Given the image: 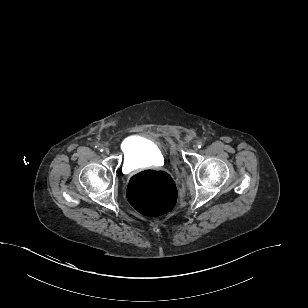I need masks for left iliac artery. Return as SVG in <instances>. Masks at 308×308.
<instances>
[{
  "label": "left iliac artery",
  "mask_w": 308,
  "mask_h": 308,
  "mask_svg": "<svg viewBox=\"0 0 308 308\" xmlns=\"http://www.w3.org/2000/svg\"><path fill=\"white\" fill-rule=\"evenodd\" d=\"M197 145H198V148H201L203 146V143L202 142H198Z\"/></svg>",
  "instance_id": "1"
}]
</instances>
